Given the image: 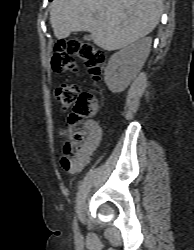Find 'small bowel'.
Here are the masks:
<instances>
[{"label": "small bowel", "mask_w": 194, "mask_h": 250, "mask_svg": "<svg viewBox=\"0 0 194 250\" xmlns=\"http://www.w3.org/2000/svg\"><path fill=\"white\" fill-rule=\"evenodd\" d=\"M73 132L71 127L62 128L60 134L62 136H70ZM86 140L82 146V152L78 160L74 161L67 167H63L67 172L71 174H77L89 163L90 156L98 146L101 136V126L96 121H88L86 124Z\"/></svg>", "instance_id": "obj_1"}]
</instances>
